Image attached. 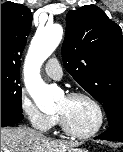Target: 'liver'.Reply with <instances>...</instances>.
Listing matches in <instances>:
<instances>
[{"instance_id": "liver-1", "label": "liver", "mask_w": 123, "mask_h": 152, "mask_svg": "<svg viewBox=\"0 0 123 152\" xmlns=\"http://www.w3.org/2000/svg\"><path fill=\"white\" fill-rule=\"evenodd\" d=\"M79 143L47 138L27 128H1V152H68Z\"/></svg>"}]
</instances>
